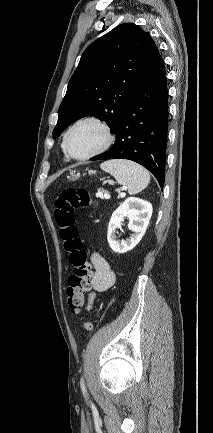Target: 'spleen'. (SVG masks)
I'll return each instance as SVG.
<instances>
[{
  "mask_svg": "<svg viewBox=\"0 0 213 433\" xmlns=\"http://www.w3.org/2000/svg\"><path fill=\"white\" fill-rule=\"evenodd\" d=\"M100 168L110 173L119 184L125 186L130 195L141 192L150 182L148 171L132 161L109 160L102 163Z\"/></svg>",
  "mask_w": 213,
  "mask_h": 433,
  "instance_id": "obj_1",
  "label": "spleen"
}]
</instances>
